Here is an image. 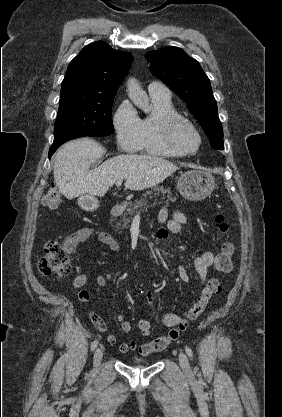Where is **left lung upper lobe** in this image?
Segmentation results:
<instances>
[{
  "label": "left lung upper lobe",
  "instance_id": "5c2ea615",
  "mask_svg": "<svg viewBox=\"0 0 282 417\" xmlns=\"http://www.w3.org/2000/svg\"><path fill=\"white\" fill-rule=\"evenodd\" d=\"M150 72L174 91L186 103L199 121L211 146L223 150V130L210 80L200 64L181 48L164 47L145 55Z\"/></svg>",
  "mask_w": 282,
  "mask_h": 417
}]
</instances>
